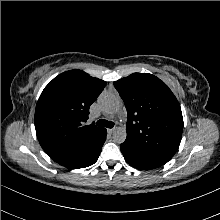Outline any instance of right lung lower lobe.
<instances>
[{"instance_id": "1", "label": "right lung lower lobe", "mask_w": 220, "mask_h": 220, "mask_svg": "<svg viewBox=\"0 0 220 220\" xmlns=\"http://www.w3.org/2000/svg\"><path fill=\"white\" fill-rule=\"evenodd\" d=\"M106 135H107V131H106L105 135L102 137V139L98 142V144L93 149V153H92V157H91L90 161L88 163H86L85 166L74 167V168H84V167H87V166L94 164L97 161V159L100 155L102 146L106 140Z\"/></svg>"}]
</instances>
